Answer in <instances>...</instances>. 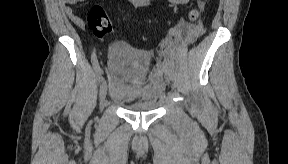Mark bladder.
Returning a JSON list of instances; mask_svg holds the SVG:
<instances>
[{
	"mask_svg": "<svg viewBox=\"0 0 288 164\" xmlns=\"http://www.w3.org/2000/svg\"><path fill=\"white\" fill-rule=\"evenodd\" d=\"M150 61L147 51L129 46H117L109 51L110 97L128 111H154L158 107L146 86Z\"/></svg>",
	"mask_w": 288,
	"mask_h": 164,
	"instance_id": "bladder-1",
	"label": "bladder"
}]
</instances>
